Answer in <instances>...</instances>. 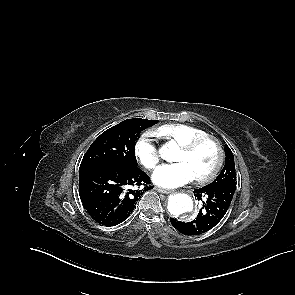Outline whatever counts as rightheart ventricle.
Masks as SVG:
<instances>
[{"mask_svg": "<svg viewBox=\"0 0 295 295\" xmlns=\"http://www.w3.org/2000/svg\"><path fill=\"white\" fill-rule=\"evenodd\" d=\"M168 142L183 146L190 141L208 135L204 130L187 124H166L157 128L154 132Z\"/></svg>", "mask_w": 295, "mask_h": 295, "instance_id": "1", "label": "right heart ventricle"}]
</instances>
